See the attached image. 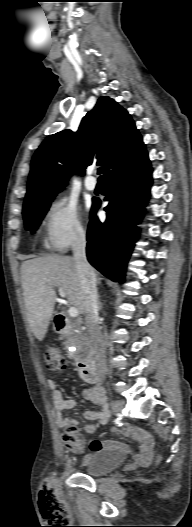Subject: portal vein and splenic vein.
Instances as JSON below:
<instances>
[{
	"instance_id": "1",
	"label": "portal vein and splenic vein",
	"mask_w": 192,
	"mask_h": 527,
	"mask_svg": "<svg viewBox=\"0 0 192 527\" xmlns=\"http://www.w3.org/2000/svg\"><path fill=\"white\" fill-rule=\"evenodd\" d=\"M59 294H60V296L62 298L66 297V294L64 293V291H63V289L61 287L59 288ZM68 314L72 318H76V317L79 316V312H78V310L75 307H70L69 310H68Z\"/></svg>"
}]
</instances>
